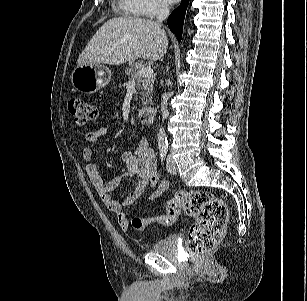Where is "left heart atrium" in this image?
Here are the masks:
<instances>
[{
    "mask_svg": "<svg viewBox=\"0 0 307 301\" xmlns=\"http://www.w3.org/2000/svg\"><path fill=\"white\" fill-rule=\"evenodd\" d=\"M167 4H175L179 0H164Z\"/></svg>",
    "mask_w": 307,
    "mask_h": 301,
    "instance_id": "1",
    "label": "left heart atrium"
}]
</instances>
